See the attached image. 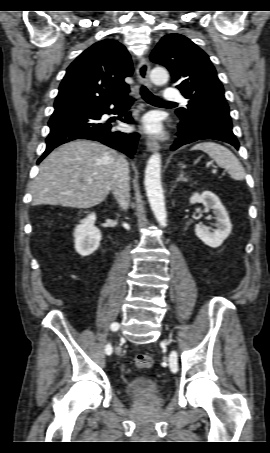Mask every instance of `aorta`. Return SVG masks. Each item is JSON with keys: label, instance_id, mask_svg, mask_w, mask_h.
I'll list each match as a JSON object with an SVG mask.
<instances>
[{"label": "aorta", "instance_id": "762f6f07", "mask_svg": "<svg viewBox=\"0 0 270 453\" xmlns=\"http://www.w3.org/2000/svg\"><path fill=\"white\" fill-rule=\"evenodd\" d=\"M150 78L154 84L163 85L167 83L169 74L166 69L155 67L150 73ZM144 184L153 214L160 226H165L167 214L161 186V155L159 153L151 155L147 162Z\"/></svg>", "mask_w": 270, "mask_h": 453}]
</instances>
